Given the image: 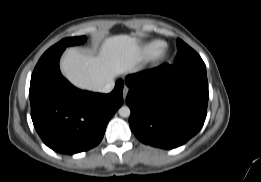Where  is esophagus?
Returning a JSON list of instances; mask_svg holds the SVG:
<instances>
[{"label":"esophagus","mask_w":261,"mask_h":182,"mask_svg":"<svg viewBox=\"0 0 261 182\" xmlns=\"http://www.w3.org/2000/svg\"><path fill=\"white\" fill-rule=\"evenodd\" d=\"M128 91H129V88L127 86H124V88H123V98H124V100H125V98L128 94Z\"/></svg>","instance_id":"34e87169"}]
</instances>
